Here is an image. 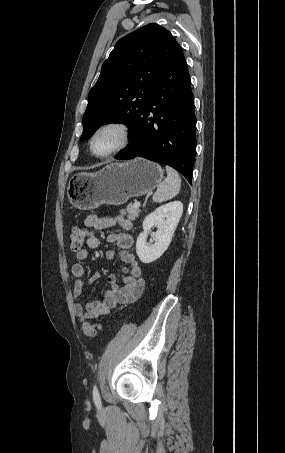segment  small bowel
Returning a JSON list of instances; mask_svg holds the SVG:
<instances>
[{"label":"small bowel","instance_id":"obj_1","mask_svg":"<svg viewBox=\"0 0 285 453\" xmlns=\"http://www.w3.org/2000/svg\"><path fill=\"white\" fill-rule=\"evenodd\" d=\"M118 225L122 232L110 233L106 241L118 247L119 251L108 250L105 254L106 259L111 261L119 257L125 264L122 269V283L119 285L115 275L107 277L109 288L104 292L103 300L90 301L83 306L80 302L84 294V276L86 269L82 263H75L71 267V273L75 277L73 288L74 313L81 322L96 319L102 315H107L119 304H127L136 301L143 293L145 280L142 270L132 252L134 239L128 231L132 228V222L123 217H100L94 214L88 215L84 219V226L91 229L86 236V246L81 252L76 254L79 260L88 257V249H96L99 240L94 234V230H106ZM100 278V274L95 272L89 278V284H94Z\"/></svg>","mask_w":285,"mask_h":453}]
</instances>
